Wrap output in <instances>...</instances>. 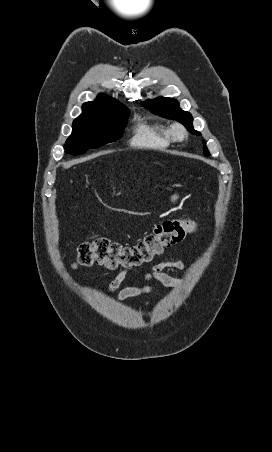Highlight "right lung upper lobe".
Instances as JSON below:
<instances>
[{
    "mask_svg": "<svg viewBox=\"0 0 272 452\" xmlns=\"http://www.w3.org/2000/svg\"><path fill=\"white\" fill-rule=\"evenodd\" d=\"M122 104L115 99L105 95H98L97 99L93 102L84 103L82 106V114L74 121H82L94 116H98L103 112H106L112 108L121 106Z\"/></svg>",
    "mask_w": 272,
    "mask_h": 452,
    "instance_id": "cb5924a9",
    "label": "right lung upper lobe"
}]
</instances>
